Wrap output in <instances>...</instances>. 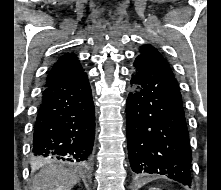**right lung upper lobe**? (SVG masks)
I'll list each match as a JSON object with an SVG mask.
<instances>
[{
  "label": "right lung upper lobe",
  "mask_w": 221,
  "mask_h": 190,
  "mask_svg": "<svg viewBox=\"0 0 221 190\" xmlns=\"http://www.w3.org/2000/svg\"><path fill=\"white\" fill-rule=\"evenodd\" d=\"M84 70L74 53L62 55L48 73L45 88L82 73Z\"/></svg>",
  "instance_id": "right-lung-upper-lobe-1"
}]
</instances>
